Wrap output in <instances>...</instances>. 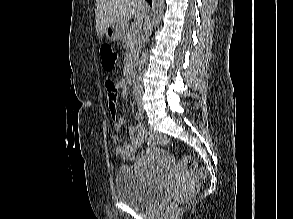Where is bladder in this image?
<instances>
[{
	"instance_id": "1",
	"label": "bladder",
	"mask_w": 293,
	"mask_h": 219,
	"mask_svg": "<svg viewBox=\"0 0 293 219\" xmlns=\"http://www.w3.org/2000/svg\"><path fill=\"white\" fill-rule=\"evenodd\" d=\"M167 190L164 182H151L132 166L121 167L115 178L117 201L136 209H144L160 201Z\"/></svg>"
}]
</instances>
